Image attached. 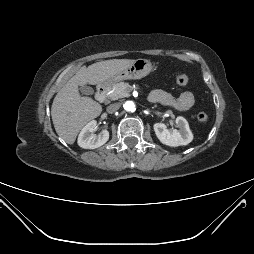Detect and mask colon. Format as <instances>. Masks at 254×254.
Returning <instances> with one entry per match:
<instances>
[{
    "mask_svg": "<svg viewBox=\"0 0 254 254\" xmlns=\"http://www.w3.org/2000/svg\"><path fill=\"white\" fill-rule=\"evenodd\" d=\"M189 79H190V73L183 72L176 76L175 81L178 85H186L189 82ZM197 120L201 123H205L208 120V115L204 112H199L197 114Z\"/></svg>",
    "mask_w": 254,
    "mask_h": 254,
    "instance_id": "obj_1",
    "label": "colon"
}]
</instances>
